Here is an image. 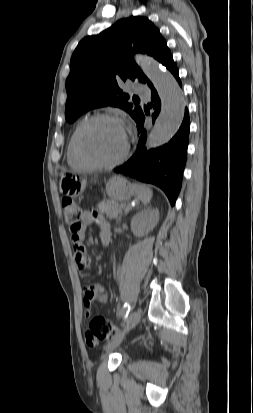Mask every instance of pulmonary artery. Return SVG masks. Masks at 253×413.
I'll return each instance as SVG.
<instances>
[{"mask_svg":"<svg viewBox=\"0 0 253 413\" xmlns=\"http://www.w3.org/2000/svg\"><path fill=\"white\" fill-rule=\"evenodd\" d=\"M134 91L138 94L141 95L145 98H148L150 95V90L148 87L144 86V85H136L134 87Z\"/></svg>","mask_w":253,"mask_h":413,"instance_id":"e3ab8cb5","label":"pulmonary artery"}]
</instances>
